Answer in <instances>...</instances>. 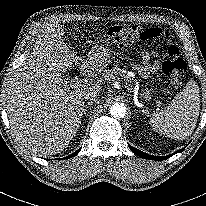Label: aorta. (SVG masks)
I'll return each mask as SVG.
<instances>
[{
	"instance_id": "1",
	"label": "aorta",
	"mask_w": 206,
	"mask_h": 206,
	"mask_svg": "<svg viewBox=\"0 0 206 206\" xmlns=\"http://www.w3.org/2000/svg\"><path fill=\"white\" fill-rule=\"evenodd\" d=\"M110 114L117 119L123 118L126 115V106L123 103H115L110 108Z\"/></svg>"
}]
</instances>
